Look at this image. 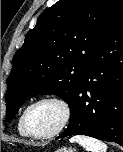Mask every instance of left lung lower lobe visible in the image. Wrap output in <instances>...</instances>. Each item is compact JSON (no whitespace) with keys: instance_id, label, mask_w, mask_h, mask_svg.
<instances>
[{"instance_id":"0a47b994","label":"left lung lower lobe","mask_w":123,"mask_h":152,"mask_svg":"<svg viewBox=\"0 0 123 152\" xmlns=\"http://www.w3.org/2000/svg\"><path fill=\"white\" fill-rule=\"evenodd\" d=\"M70 123L57 138L86 135L123 146V1L87 59Z\"/></svg>"}]
</instances>
